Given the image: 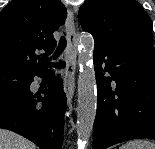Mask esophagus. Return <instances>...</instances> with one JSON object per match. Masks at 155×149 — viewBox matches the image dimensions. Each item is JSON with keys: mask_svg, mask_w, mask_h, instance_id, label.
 <instances>
[{"mask_svg": "<svg viewBox=\"0 0 155 149\" xmlns=\"http://www.w3.org/2000/svg\"><path fill=\"white\" fill-rule=\"evenodd\" d=\"M66 31H67L68 51L66 55L64 91L66 93L68 104H71L75 91V71L77 65L78 40L74 23V14L70 8L67 9Z\"/></svg>", "mask_w": 155, "mask_h": 149, "instance_id": "1", "label": "esophagus"}]
</instances>
